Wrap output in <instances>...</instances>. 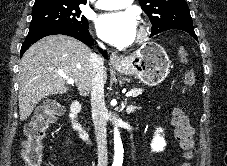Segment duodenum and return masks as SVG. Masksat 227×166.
<instances>
[{"label": "duodenum", "instance_id": "1", "mask_svg": "<svg viewBox=\"0 0 227 166\" xmlns=\"http://www.w3.org/2000/svg\"><path fill=\"white\" fill-rule=\"evenodd\" d=\"M81 110H82L81 102L78 100L72 101V103L70 105L69 119L72 123L73 128L78 133L79 137L82 140H84L88 143H91V138H90L89 134L87 133V131L84 129V127L78 120V115Z\"/></svg>", "mask_w": 227, "mask_h": 166}]
</instances>
